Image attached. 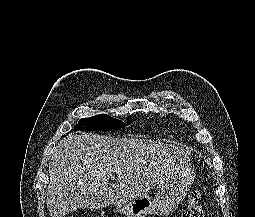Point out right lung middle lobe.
Segmentation results:
<instances>
[{
    "instance_id": "obj_1",
    "label": "right lung middle lobe",
    "mask_w": 255,
    "mask_h": 217,
    "mask_svg": "<svg viewBox=\"0 0 255 217\" xmlns=\"http://www.w3.org/2000/svg\"><path fill=\"white\" fill-rule=\"evenodd\" d=\"M125 127V124L108 115H96L89 118H82L74 130L105 131Z\"/></svg>"
}]
</instances>
